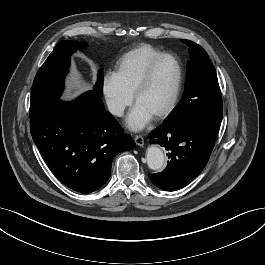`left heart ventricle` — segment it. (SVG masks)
Returning <instances> with one entry per match:
<instances>
[{"mask_svg": "<svg viewBox=\"0 0 265 265\" xmlns=\"http://www.w3.org/2000/svg\"><path fill=\"white\" fill-rule=\"evenodd\" d=\"M177 79L176 64L172 59H163L155 67L150 81L137 97L135 105L152 117L161 111L171 100Z\"/></svg>", "mask_w": 265, "mask_h": 265, "instance_id": "obj_1", "label": "left heart ventricle"}]
</instances>
